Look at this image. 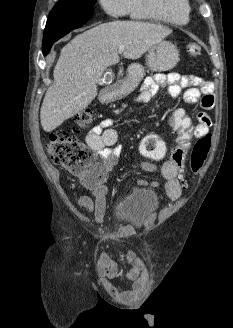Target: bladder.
Instances as JSON below:
<instances>
[{"label":"bladder","instance_id":"obj_1","mask_svg":"<svg viewBox=\"0 0 233 328\" xmlns=\"http://www.w3.org/2000/svg\"><path fill=\"white\" fill-rule=\"evenodd\" d=\"M159 207V198L151 189L136 187L125 193L118 204L121 220L134 225L143 223Z\"/></svg>","mask_w":233,"mask_h":328}]
</instances>
